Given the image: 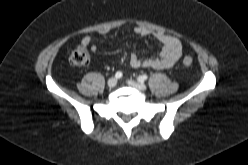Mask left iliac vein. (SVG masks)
<instances>
[{
    "label": "left iliac vein",
    "mask_w": 248,
    "mask_h": 165,
    "mask_svg": "<svg viewBox=\"0 0 248 165\" xmlns=\"http://www.w3.org/2000/svg\"><path fill=\"white\" fill-rule=\"evenodd\" d=\"M128 85L132 86L133 88L139 90V91H145L146 86L143 83L134 81V80H127Z\"/></svg>",
    "instance_id": "obj_1"
}]
</instances>
